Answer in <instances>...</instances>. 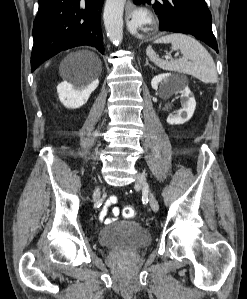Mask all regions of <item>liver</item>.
Wrapping results in <instances>:
<instances>
[{
    "label": "liver",
    "instance_id": "6515ba94",
    "mask_svg": "<svg viewBox=\"0 0 247 299\" xmlns=\"http://www.w3.org/2000/svg\"><path fill=\"white\" fill-rule=\"evenodd\" d=\"M83 53H85L86 55L90 56L93 59V61L96 63V65H97V67L100 71L101 70V61L98 58V56L95 53L91 52V51H83Z\"/></svg>",
    "mask_w": 247,
    "mask_h": 299
}]
</instances>
